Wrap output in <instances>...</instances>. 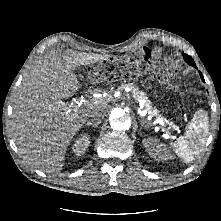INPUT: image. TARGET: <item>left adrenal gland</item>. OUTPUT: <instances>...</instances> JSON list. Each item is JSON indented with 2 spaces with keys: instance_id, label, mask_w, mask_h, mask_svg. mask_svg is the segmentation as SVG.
Listing matches in <instances>:
<instances>
[{
  "instance_id": "a2214340",
  "label": "left adrenal gland",
  "mask_w": 221,
  "mask_h": 221,
  "mask_svg": "<svg viewBox=\"0 0 221 221\" xmlns=\"http://www.w3.org/2000/svg\"><path fill=\"white\" fill-rule=\"evenodd\" d=\"M145 122H147V121H141V125L145 126Z\"/></svg>"
}]
</instances>
